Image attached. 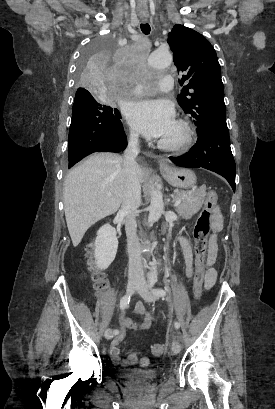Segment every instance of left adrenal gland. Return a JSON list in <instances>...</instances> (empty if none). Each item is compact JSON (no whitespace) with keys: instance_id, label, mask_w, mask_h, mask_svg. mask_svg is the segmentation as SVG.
<instances>
[{"instance_id":"1","label":"left adrenal gland","mask_w":275,"mask_h":409,"mask_svg":"<svg viewBox=\"0 0 275 409\" xmlns=\"http://www.w3.org/2000/svg\"><path fill=\"white\" fill-rule=\"evenodd\" d=\"M166 205H169V198H168V200H166Z\"/></svg>"}]
</instances>
